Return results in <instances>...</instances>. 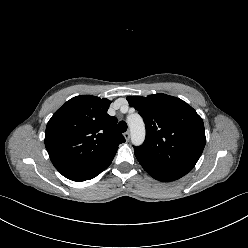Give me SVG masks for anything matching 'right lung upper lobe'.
<instances>
[{
  "label": "right lung upper lobe",
  "instance_id": "cb5924a9",
  "mask_svg": "<svg viewBox=\"0 0 248 248\" xmlns=\"http://www.w3.org/2000/svg\"><path fill=\"white\" fill-rule=\"evenodd\" d=\"M110 103L81 95L54 113L46 127L45 146L58 171L89 169L113 160L125 139L117 131V119L107 114Z\"/></svg>",
  "mask_w": 248,
  "mask_h": 248
}]
</instances>
